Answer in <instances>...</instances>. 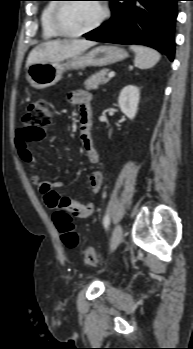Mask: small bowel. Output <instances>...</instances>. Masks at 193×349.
I'll list each match as a JSON object with an SVG mask.
<instances>
[{
    "label": "small bowel",
    "instance_id": "1",
    "mask_svg": "<svg viewBox=\"0 0 193 349\" xmlns=\"http://www.w3.org/2000/svg\"><path fill=\"white\" fill-rule=\"evenodd\" d=\"M91 94L85 90H75L68 95V101L76 105L79 109V121L81 128V144L86 153V156L91 164H99V154L95 148L91 136ZM39 139L31 138L24 128L18 129L16 132L15 144L21 160L29 167L31 180L38 186L46 204L56 209L59 206L65 205L69 209L72 217L86 219L90 217L94 211L93 203H80L69 197H61L57 190L63 187L62 182H49L43 180L37 172L36 160L30 150L29 144L32 141ZM89 186L92 195L99 192L102 185V173L98 170L90 173Z\"/></svg>",
    "mask_w": 193,
    "mask_h": 349
}]
</instances>
